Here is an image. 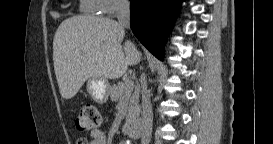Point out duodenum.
Listing matches in <instances>:
<instances>
[{
    "instance_id": "obj_1",
    "label": "duodenum",
    "mask_w": 273,
    "mask_h": 144,
    "mask_svg": "<svg viewBox=\"0 0 273 144\" xmlns=\"http://www.w3.org/2000/svg\"><path fill=\"white\" fill-rule=\"evenodd\" d=\"M124 129L126 134L131 136L132 138H138L141 136V126L137 122H125Z\"/></svg>"
}]
</instances>
